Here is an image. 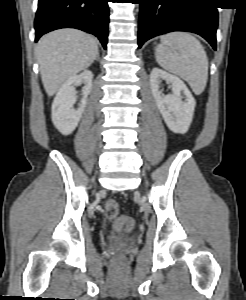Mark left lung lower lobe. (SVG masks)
<instances>
[{
    "mask_svg": "<svg viewBox=\"0 0 246 300\" xmlns=\"http://www.w3.org/2000/svg\"><path fill=\"white\" fill-rule=\"evenodd\" d=\"M140 4L138 48L161 34L188 31L201 35L216 50L218 12L214 0H137Z\"/></svg>",
    "mask_w": 246,
    "mask_h": 300,
    "instance_id": "obj_1",
    "label": "left lung lower lobe"
}]
</instances>
